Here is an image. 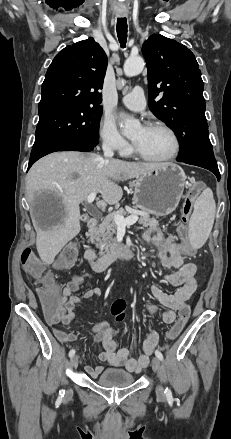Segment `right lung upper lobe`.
I'll return each mask as SVG.
<instances>
[{
    "instance_id": "1",
    "label": "right lung upper lobe",
    "mask_w": 231,
    "mask_h": 439,
    "mask_svg": "<svg viewBox=\"0 0 231 439\" xmlns=\"http://www.w3.org/2000/svg\"><path fill=\"white\" fill-rule=\"evenodd\" d=\"M107 56L93 38L66 46L49 66L42 85L39 116L79 107H101Z\"/></svg>"
}]
</instances>
